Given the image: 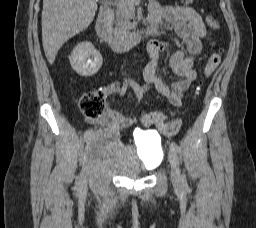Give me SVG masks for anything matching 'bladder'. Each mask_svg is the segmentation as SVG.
Returning a JSON list of instances; mask_svg holds the SVG:
<instances>
[{"mask_svg":"<svg viewBox=\"0 0 256 228\" xmlns=\"http://www.w3.org/2000/svg\"><path fill=\"white\" fill-rule=\"evenodd\" d=\"M141 155L136 149L124 144L117 132L92 131L86 140L89 161L109 173L130 179L155 169L162 157L163 148L159 139L143 136Z\"/></svg>","mask_w":256,"mask_h":228,"instance_id":"1","label":"bladder"}]
</instances>
